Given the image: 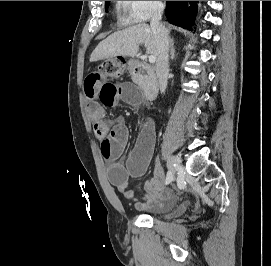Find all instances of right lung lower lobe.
<instances>
[{
    "mask_svg": "<svg viewBox=\"0 0 271 266\" xmlns=\"http://www.w3.org/2000/svg\"><path fill=\"white\" fill-rule=\"evenodd\" d=\"M198 1H166L167 20L185 29H191L197 13Z\"/></svg>",
    "mask_w": 271,
    "mask_h": 266,
    "instance_id": "obj_1",
    "label": "right lung lower lobe"
}]
</instances>
